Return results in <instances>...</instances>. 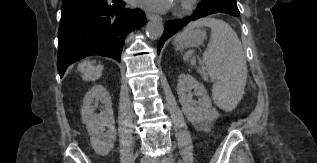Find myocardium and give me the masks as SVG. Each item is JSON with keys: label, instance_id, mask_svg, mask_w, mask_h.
Instances as JSON below:
<instances>
[{"label": "myocardium", "instance_id": "1", "mask_svg": "<svg viewBox=\"0 0 317 163\" xmlns=\"http://www.w3.org/2000/svg\"><path fill=\"white\" fill-rule=\"evenodd\" d=\"M196 0H178L175 12L178 15H185L195 9Z\"/></svg>", "mask_w": 317, "mask_h": 163}]
</instances>
